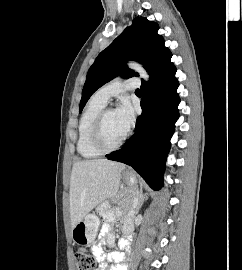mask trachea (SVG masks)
I'll return each mask as SVG.
<instances>
[{"mask_svg": "<svg viewBox=\"0 0 242 270\" xmlns=\"http://www.w3.org/2000/svg\"><path fill=\"white\" fill-rule=\"evenodd\" d=\"M135 92L140 93L141 91L139 89H137Z\"/></svg>", "mask_w": 242, "mask_h": 270, "instance_id": "1", "label": "trachea"}]
</instances>
